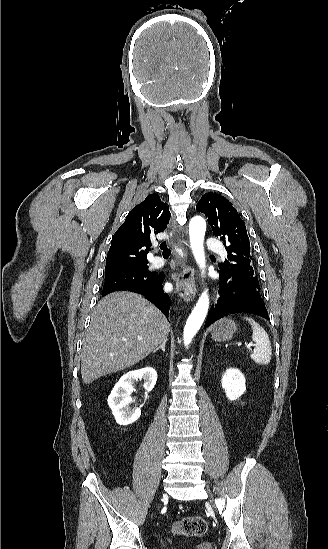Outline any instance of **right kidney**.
I'll use <instances>...</instances> for the list:
<instances>
[{
  "label": "right kidney",
  "instance_id": "right-kidney-1",
  "mask_svg": "<svg viewBox=\"0 0 328 549\" xmlns=\"http://www.w3.org/2000/svg\"><path fill=\"white\" fill-rule=\"evenodd\" d=\"M143 379L144 389L146 393L154 389L157 381V373L152 367H145V369H138V371H129L126 375H123L116 383L114 389L111 391V395L108 397V405L119 425H130L137 421L141 415L140 409L135 411H128L127 407L132 401L130 395L135 391L133 389V383Z\"/></svg>",
  "mask_w": 328,
  "mask_h": 549
}]
</instances>
